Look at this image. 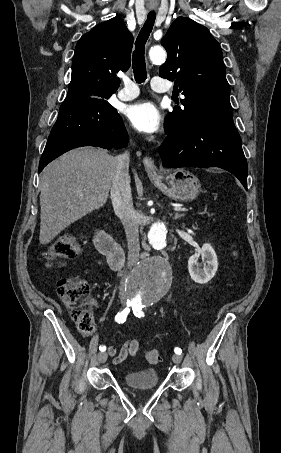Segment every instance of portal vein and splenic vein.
<instances>
[{"label": "portal vein and splenic vein", "instance_id": "1", "mask_svg": "<svg viewBox=\"0 0 281 453\" xmlns=\"http://www.w3.org/2000/svg\"><path fill=\"white\" fill-rule=\"evenodd\" d=\"M190 208L189 207H179V205H174L173 207V212H189Z\"/></svg>", "mask_w": 281, "mask_h": 453}]
</instances>
